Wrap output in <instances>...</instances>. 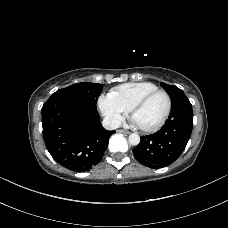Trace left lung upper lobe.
Returning <instances> with one entry per match:
<instances>
[{"mask_svg": "<svg viewBox=\"0 0 228 228\" xmlns=\"http://www.w3.org/2000/svg\"><path fill=\"white\" fill-rule=\"evenodd\" d=\"M164 89L169 93L172 101V107L180 104L181 101L187 99L184 92L176 86L162 83Z\"/></svg>", "mask_w": 228, "mask_h": 228, "instance_id": "5c2ea615", "label": "left lung upper lobe"}]
</instances>
